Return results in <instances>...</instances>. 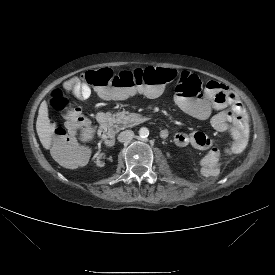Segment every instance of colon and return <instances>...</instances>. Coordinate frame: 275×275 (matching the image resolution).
Returning a JSON list of instances; mask_svg holds the SVG:
<instances>
[{
  "mask_svg": "<svg viewBox=\"0 0 275 275\" xmlns=\"http://www.w3.org/2000/svg\"><path fill=\"white\" fill-rule=\"evenodd\" d=\"M71 90L72 96L79 101L86 100L91 93L90 87L97 88L98 93L106 100H129L138 101L141 97H158L164 87L175 84L176 91L187 89L198 93L202 88V81L198 76L190 72H178L169 68L147 67L134 71H121L117 74L108 68L98 71H86L79 75ZM89 85V86H88ZM69 91V89H66ZM51 106L58 111L76 110V102L66 96L61 90L52 94ZM78 119L71 122V129L78 128ZM72 136L62 129L56 132L54 150L58 152L70 151ZM225 152L230 154V148Z\"/></svg>",
  "mask_w": 275,
  "mask_h": 275,
  "instance_id": "5ec220e1",
  "label": "colon"
}]
</instances>
